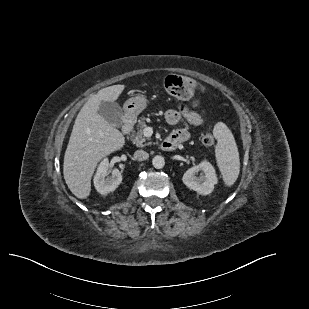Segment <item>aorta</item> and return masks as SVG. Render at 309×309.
Segmentation results:
<instances>
[{"label":"aorta","instance_id":"762f6f07","mask_svg":"<svg viewBox=\"0 0 309 309\" xmlns=\"http://www.w3.org/2000/svg\"><path fill=\"white\" fill-rule=\"evenodd\" d=\"M152 164L156 169H162L165 165V160L162 156H155L152 160Z\"/></svg>","mask_w":309,"mask_h":309}]
</instances>
